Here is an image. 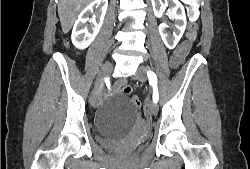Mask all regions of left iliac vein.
Instances as JSON below:
<instances>
[{
  "label": "left iliac vein",
  "instance_id": "left-iliac-vein-1",
  "mask_svg": "<svg viewBox=\"0 0 250 169\" xmlns=\"http://www.w3.org/2000/svg\"><path fill=\"white\" fill-rule=\"evenodd\" d=\"M148 72V67L146 66H140L136 75L137 80L141 81L142 83H144L146 81V74ZM147 109L148 111L154 115L157 113V104L154 103L153 101H148L146 103Z\"/></svg>",
  "mask_w": 250,
  "mask_h": 169
}]
</instances>
